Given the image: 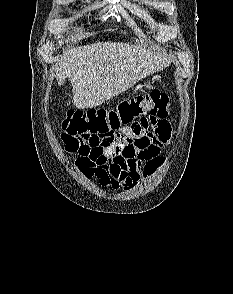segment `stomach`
<instances>
[{"instance_id":"1","label":"stomach","mask_w":233,"mask_h":294,"mask_svg":"<svg viewBox=\"0 0 233 294\" xmlns=\"http://www.w3.org/2000/svg\"><path fill=\"white\" fill-rule=\"evenodd\" d=\"M153 82L151 80H146L139 85V87L151 88Z\"/></svg>"}]
</instances>
